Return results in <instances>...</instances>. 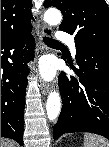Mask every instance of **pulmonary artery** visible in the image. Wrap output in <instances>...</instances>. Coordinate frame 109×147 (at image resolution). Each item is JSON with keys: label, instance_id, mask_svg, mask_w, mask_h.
Here are the masks:
<instances>
[{"label": "pulmonary artery", "instance_id": "e3ab8cb5", "mask_svg": "<svg viewBox=\"0 0 109 147\" xmlns=\"http://www.w3.org/2000/svg\"><path fill=\"white\" fill-rule=\"evenodd\" d=\"M56 39L59 43H66L72 54L75 55L76 54V47H75V42H74V38L73 36L67 34V33H64V32H60L59 34L56 35Z\"/></svg>", "mask_w": 109, "mask_h": 147}]
</instances>
